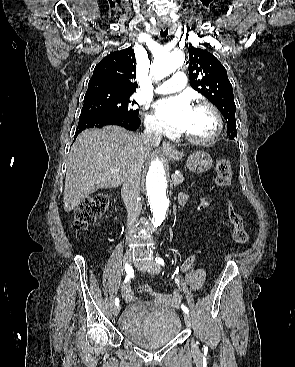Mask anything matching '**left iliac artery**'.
Returning <instances> with one entry per match:
<instances>
[{
    "instance_id": "left-iliac-artery-1",
    "label": "left iliac artery",
    "mask_w": 295,
    "mask_h": 367,
    "mask_svg": "<svg viewBox=\"0 0 295 367\" xmlns=\"http://www.w3.org/2000/svg\"><path fill=\"white\" fill-rule=\"evenodd\" d=\"M155 261H156L159 265H162V266H164V265H165L164 260H163L162 258H160V257H156V258H155ZM175 282L177 283V285H179V281H178V279H176V278H175ZM181 308H182V310H183L185 313H189L188 308H187L184 304H182V305H181Z\"/></svg>"
}]
</instances>
